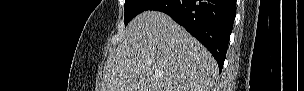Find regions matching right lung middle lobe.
Listing matches in <instances>:
<instances>
[{
	"label": "right lung middle lobe",
	"instance_id": "dd1d6c3e",
	"mask_svg": "<svg viewBox=\"0 0 304 91\" xmlns=\"http://www.w3.org/2000/svg\"><path fill=\"white\" fill-rule=\"evenodd\" d=\"M153 0H126L124 21L127 25L136 15L145 11Z\"/></svg>",
	"mask_w": 304,
	"mask_h": 91
}]
</instances>
